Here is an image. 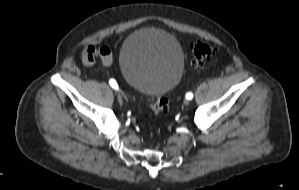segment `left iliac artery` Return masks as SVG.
Wrapping results in <instances>:
<instances>
[{
    "instance_id": "1",
    "label": "left iliac artery",
    "mask_w": 299,
    "mask_h": 190,
    "mask_svg": "<svg viewBox=\"0 0 299 190\" xmlns=\"http://www.w3.org/2000/svg\"><path fill=\"white\" fill-rule=\"evenodd\" d=\"M192 98H193V93L188 92V93L186 94V99L191 100Z\"/></svg>"
}]
</instances>
